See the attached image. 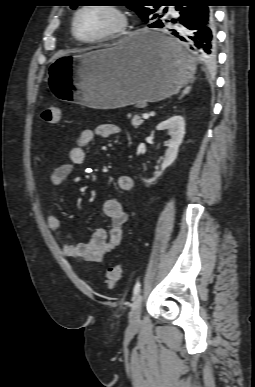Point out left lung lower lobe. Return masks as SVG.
<instances>
[{
    "instance_id": "1",
    "label": "left lung lower lobe",
    "mask_w": 255,
    "mask_h": 387,
    "mask_svg": "<svg viewBox=\"0 0 255 387\" xmlns=\"http://www.w3.org/2000/svg\"><path fill=\"white\" fill-rule=\"evenodd\" d=\"M212 0H175L169 6H175L177 18L164 15L148 25L150 28H163L164 32L174 35L186 42L194 54L205 64L211 65L216 58V38L214 29ZM175 23L178 29L170 28ZM144 36V42L162 53L167 59L181 61L183 55L177 47V42L160 32L149 29Z\"/></svg>"
}]
</instances>
